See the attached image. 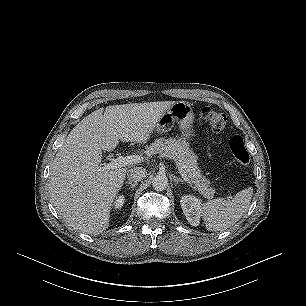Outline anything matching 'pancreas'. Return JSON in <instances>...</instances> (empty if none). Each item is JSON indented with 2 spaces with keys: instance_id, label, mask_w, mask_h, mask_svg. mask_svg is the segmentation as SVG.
Returning a JSON list of instances; mask_svg holds the SVG:
<instances>
[{
  "instance_id": "pancreas-1",
  "label": "pancreas",
  "mask_w": 306,
  "mask_h": 306,
  "mask_svg": "<svg viewBox=\"0 0 306 306\" xmlns=\"http://www.w3.org/2000/svg\"><path fill=\"white\" fill-rule=\"evenodd\" d=\"M147 153L150 155L162 154L174 159L182 167L194 188L205 198H213L215 189L210 187V181L201 174L195 154L180 140L175 138L156 139L147 147Z\"/></svg>"
}]
</instances>
